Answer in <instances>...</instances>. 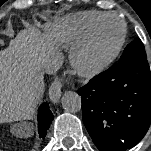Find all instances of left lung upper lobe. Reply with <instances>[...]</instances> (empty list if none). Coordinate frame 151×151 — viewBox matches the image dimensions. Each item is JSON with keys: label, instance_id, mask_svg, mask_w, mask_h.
Returning a JSON list of instances; mask_svg holds the SVG:
<instances>
[{"label": "left lung upper lobe", "instance_id": "5c2ea615", "mask_svg": "<svg viewBox=\"0 0 151 151\" xmlns=\"http://www.w3.org/2000/svg\"><path fill=\"white\" fill-rule=\"evenodd\" d=\"M133 57H146L145 48L140 39H136L126 46L119 62L128 60Z\"/></svg>", "mask_w": 151, "mask_h": 151}]
</instances>
